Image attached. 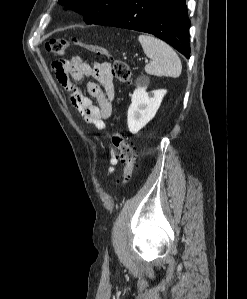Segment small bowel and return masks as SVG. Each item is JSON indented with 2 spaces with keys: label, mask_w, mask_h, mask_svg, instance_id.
I'll list each match as a JSON object with an SVG mask.
<instances>
[{
  "label": "small bowel",
  "mask_w": 247,
  "mask_h": 299,
  "mask_svg": "<svg viewBox=\"0 0 247 299\" xmlns=\"http://www.w3.org/2000/svg\"><path fill=\"white\" fill-rule=\"evenodd\" d=\"M110 64L102 61L87 63L80 58L60 59L53 63L58 82L69 92L72 105L82 114L84 120L98 130L105 128V121L112 114L115 86L110 74ZM93 77L94 81H85ZM77 83H84L85 95ZM91 98L96 99L95 104ZM109 172L118 162L115 150L110 147Z\"/></svg>",
  "instance_id": "obj_1"
}]
</instances>
